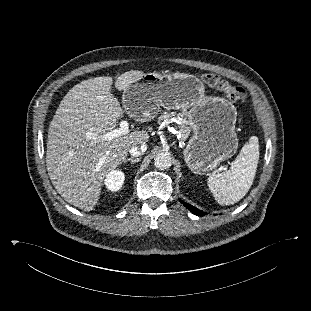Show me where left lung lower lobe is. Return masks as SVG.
Masks as SVG:
<instances>
[{"mask_svg":"<svg viewBox=\"0 0 311 311\" xmlns=\"http://www.w3.org/2000/svg\"><path fill=\"white\" fill-rule=\"evenodd\" d=\"M179 200H180V199H179ZM180 202H181L185 207H187L193 214H196V215H198V216H203V215H205V212L200 211L199 209L193 207L192 205H189V204L183 202L182 200H180Z\"/></svg>","mask_w":311,"mask_h":311,"instance_id":"0a47b994","label":"left lung lower lobe"}]
</instances>
